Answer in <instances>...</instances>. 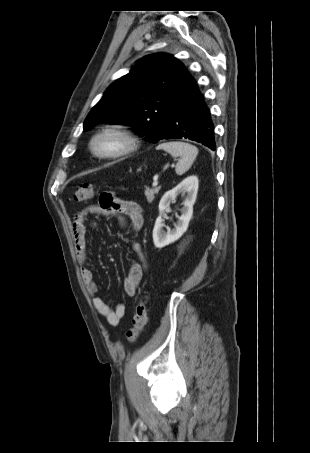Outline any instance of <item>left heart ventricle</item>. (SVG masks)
Returning a JSON list of instances; mask_svg holds the SVG:
<instances>
[{
    "label": "left heart ventricle",
    "mask_w": 310,
    "mask_h": 453,
    "mask_svg": "<svg viewBox=\"0 0 310 453\" xmlns=\"http://www.w3.org/2000/svg\"><path fill=\"white\" fill-rule=\"evenodd\" d=\"M116 145V141L111 137L103 138L97 142V146L101 151L112 150L116 147Z\"/></svg>",
    "instance_id": "b2bd125f"
}]
</instances>
